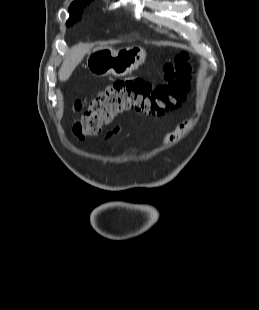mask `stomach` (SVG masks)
<instances>
[{
	"label": "stomach",
	"mask_w": 259,
	"mask_h": 310,
	"mask_svg": "<svg viewBox=\"0 0 259 310\" xmlns=\"http://www.w3.org/2000/svg\"><path fill=\"white\" fill-rule=\"evenodd\" d=\"M146 51L139 46L114 50L111 47H99L89 53L87 67L98 76L113 75L123 77L145 62Z\"/></svg>",
	"instance_id": "0dacf381"
}]
</instances>
